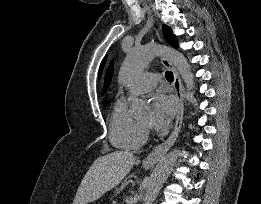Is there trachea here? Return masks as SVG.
Returning a JSON list of instances; mask_svg holds the SVG:
<instances>
[{
  "mask_svg": "<svg viewBox=\"0 0 261 204\" xmlns=\"http://www.w3.org/2000/svg\"><path fill=\"white\" fill-rule=\"evenodd\" d=\"M165 77H166L167 81H169V82H172L173 78H174L173 73L171 71H166Z\"/></svg>",
  "mask_w": 261,
  "mask_h": 204,
  "instance_id": "obj_1",
  "label": "trachea"
}]
</instances>
